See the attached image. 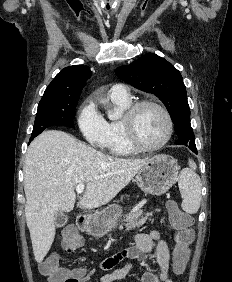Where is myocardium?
<instances>
[{"label": "myocardium", "instance_id": "1", "mask_svg": "<svg viewBox=\"0 0 232 282\" xmlns=\"http://www.w3.org/2000/svg\"><path fill=\"white\" fill-rule=\"evenodd\" d=\"M146 106H151L158 109L164 116L167 124V133L164 139L156 145L148 146L143 144L136 133L135 121L138 112ZM123 127L128 143L140 152H152L163 148L172 138L174 131V123L169 111L161 104L152 100H141L131 104L125 111L122 118Z\"/></svg>", "mask_w": 232, "mask_h": 282}]
</instances>
